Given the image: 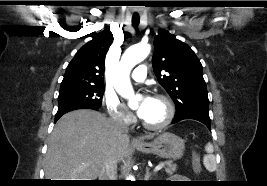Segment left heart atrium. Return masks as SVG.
Segmentation results:
<instances>
[{"instance_id":"1","label":"left heart atrium","mask_w":267,"mask_h":186,"mask_svg":"<svg viewBox=\"0 0 267 186\" xmlns=\"http://www.w3.org/2000/svg\"><path fill=\"white\" fill-rule=\"evenodd\" d=\"M154 98H152L151 96H145L142 101L139 104V107L137 109V114L139 117H141L142 119L147 115L151 104L153 102Z\"/></svg>"}]
</instances>
